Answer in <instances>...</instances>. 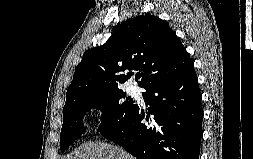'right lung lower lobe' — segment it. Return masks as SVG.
I'll return each instance as SVG.
<instances>
[{
    "mask_svg": "<svg viewBox=\"0 0 253 159\" xmlns=\"http://www.w3.org/2000/svg\"><path fill=\"white\" fill-rule=\"evenodd\" d=\"M145 89L153 120L142 123L137 105L126 121L101 134L139 159H199L203 109L194 67Z\"/></svg>",
    "mask_w": 253,
    "mask_h": 159,
    "instance_id": "right-lung-lower-lobe-1",
    "label": "right lung lower lobe"
}]
</instances>
